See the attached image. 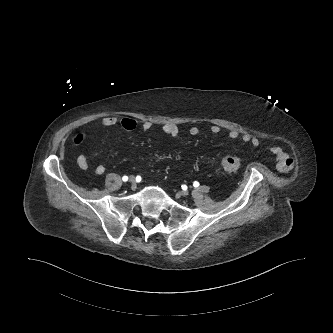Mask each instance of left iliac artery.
Here are the masks:
<instances>
[{
	"label": "left iliac artery",
	"mask_w": 333,
	"mask_h": 333,
	"mask_svg": "<svg viewBox=\"0 0 333 333\" xmlns=\"http://www.w3.org/2000/svg\"><path fill=\"white\" fill-rule=\"evenodd\" d=\"M193 186H194V187H198V186H199V182L195 181V182L193 183Z\"/></svg>",
	"instance_id": "1"
}]
</instances>
